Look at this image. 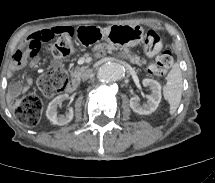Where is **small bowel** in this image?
I'll return each instance as SVG.
<instances>
[{
	"label": "small bowel",
	"mask_w": 215,
	"mask_h": 183,
	"mask_svg": "<svg viewBox=\"0 0 215 183\" xmlns=\"http://www.w3.org/2000/svg\"><path fill=\"white\" fill-rule=\"evenodd\" d=\"M71 30L69 27H49L45 28L39 31L34 32L31 34L25 41L26 43L32 42L36 39H39L42 43L48 42L51 40L56 34L64 31H69ZM24 44V45H25ZM23 49V48H22ZM22 50L18 51L15 56V60L13 64L9 67L8 69V75L12 76L15 73L19 72L23 68H25L28 65V59L26 56H22L21 52ZM33 66H37L39 64L38 61L34 60L31 62ZM52 65L54 67H58L60 65V61L55 59L52 62ZM31 85V80H28L25 85L20 84L19 82L14 83L11 86L10 89V97L13 98L17 96L21 91H25L29 86Z\"/></svg>",
	"instance_id": "c3829d8e"
}]
</instances>
